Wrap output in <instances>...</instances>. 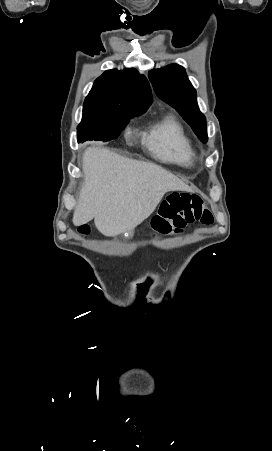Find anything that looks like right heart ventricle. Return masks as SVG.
<instances>
[{"instance_id": "e07e8e85", "label": "right heart ventricle", "mask_w": 272, "mask_h": 451, "mask_svg": "<svg viewBox=\"0 0 272 451\" xmlns=\"http://www.w3.org/2000/svg\"><path fill=\"white\" fill-rule=\"evenodd\" d=\"M145 142L160 160L177 164L186 169L195 166L196 156L185 137L182 128L167 118L156 125L147 135Z\"/></svg>"}]
</instances>
